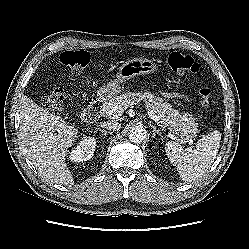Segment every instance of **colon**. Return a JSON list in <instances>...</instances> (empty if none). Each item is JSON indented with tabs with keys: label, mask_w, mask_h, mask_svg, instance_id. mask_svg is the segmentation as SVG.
<instances>
[{
	"label": "colon",
	"mask_w": 249,
	"mask_h": 249,
	"mask_svg": "<svg viewBox=\"0 0 249 249\" xmlns=\"http://www.w3.org/2000/svg\"><path fill=\"white\" fill-rule=\"evenodd\" d=\"M60 62L69 68L72 73L82 72L90 62V54L84 50L65 51L60 55ZM168 66L172 71L180 75H195L199 72V64L189 55L180 52H172L167 58ZM201 104L207 106L210 103L211 89L203 87L199 90ZM64 91L55 87L42 98L43 106L54 113H59L64 107Z\"/></svg>",
	"instance_id": "1"
}]
</instances>
